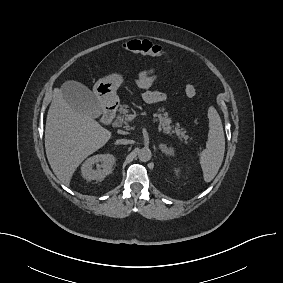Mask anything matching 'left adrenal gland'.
Masks as SVG:
<instances>
[{"label": "left adrenal gland", "instance_id": "left-adrenal-gland-1", "mask_svg": "<svg viewBox=\"0 0 283 283\" xmlns=\"http://www.w3.org/2000/svg\"><path fill=\"white\" fill-rule=\"evenodd\" d=\"M159 148L163 154L167 156H173L172 149L168 148L165 144H160Z\"/></svg>", "mask_w": 283, "mask_h": 283}]
</instances>
